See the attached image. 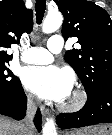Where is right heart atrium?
<instances>
[{
	"label": "right heart atrium",
	"mask_w": 112,
	"mask_h": 135,
	"mask_svg": "<svg viewBox=\"0 0 112 135\" xmlns=\"http://www.w3.org/2000/svg\"><path fill=\"white\" fill-rule=\"evenodd\" d=\"M26 97L29 103L33 104L35 102L34 97L31 94L27 93Z\"/></svg>",
	"instance_id": "obj_1"
}]
</instances>
